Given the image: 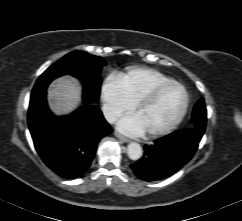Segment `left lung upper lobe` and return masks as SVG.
Segmentation results:
<instances>
[{
	"label": "left lung upper lobe",
	"instance_id": "left-lung-upper-lobe-1",
	"mask_svg": "<svg viewBox=\"0 0 242 221\" xmlns=\"http://www.w3.org/2000/svg\"><path fill=\"white\" fill-rule=\"evenodd\" d=\"M206 120H207L206 107H205L204 99L201 98L193 108L191 128L205 131Z\"/></svg>",
	"mask_w": 242,
	"mask_h": 221
}]
</instances>
